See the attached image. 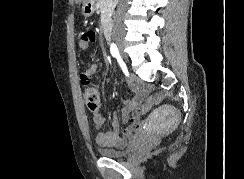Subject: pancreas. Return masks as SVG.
<instances>
[{
    "label": "pancreas",
    "mask_w": 244,
    "mask_h": 179,
    "mask_svg": "<svg viewBox=\"0 0 244 179\" xmlns=\"http://www.w3.org/2000/svg\"><path fill=\"white\" fill-rule=\"evenodd\" d=\"M98 6L99 12H101V20H107L113 10L111 0H98Z\"/></svg>",
    "instance_id": "pancreas-1"
}]
</instances>
